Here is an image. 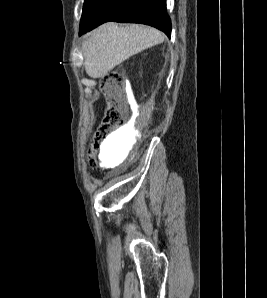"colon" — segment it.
Returning a JSON list of instances; mask_svg holds the SVG:
<instances>
[{
    "label": "colon",
    "instance_id": "obj_1",
    "mask_svg": "<svg viewBox=\"0 0 267 298\" xmlns=\"http://www.w3.org/2000/svg\"><path fill=\"white\" fill-rule=\"evenodd\" d=\"M101 88L107 100V107L101 123L94 134V141L89 149L88 166L95 169L100 150L108 137L128 122L124 101V78L119 72H110L102 80Z\"/></svg>",
    "mask_w": 267,
    "mask_h": 298
}]
</instances>
